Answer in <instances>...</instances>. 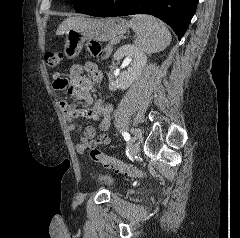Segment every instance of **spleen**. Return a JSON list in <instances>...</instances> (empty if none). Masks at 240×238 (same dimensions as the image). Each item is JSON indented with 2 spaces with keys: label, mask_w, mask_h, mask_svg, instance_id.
Listing matches in <instances>:
<instances>
[{
  "label": "spleen",
  "mask_w": 240,
  "mask_h": 238,
  "mask_svg": "<svg viewBox=\"0 0 240 238\" xmlns=\"http://www.w3.org/2000/svg\"><path fill=\"white\" fill-rule=\"evenodd\" d=\"M129 25L136 33L135 44L148 54L164 50L171 41V34L165 24L150 15H135Z\"/></svg>",
  "instance_id": "obj_1"
}]
</instances>
